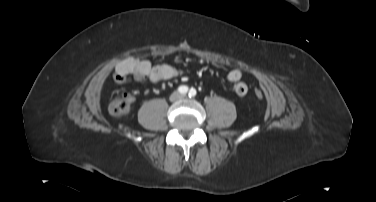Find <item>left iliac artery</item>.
<instances>
[{"label": "left iliac artery", "mask_w": 376, "mask_h": 202, "mask_svg": "<svg viewBox=\"0 0 376 202\" xmlns=\"http://www.w3.org/2000/svg\"><path fill=\"white\" fill-rule=\"evenodd\" d=\"M196 95V90L194 88H191L189 91V97H194Z\"/></svg>", "instance_id": "44dca946"}]
</instances>
